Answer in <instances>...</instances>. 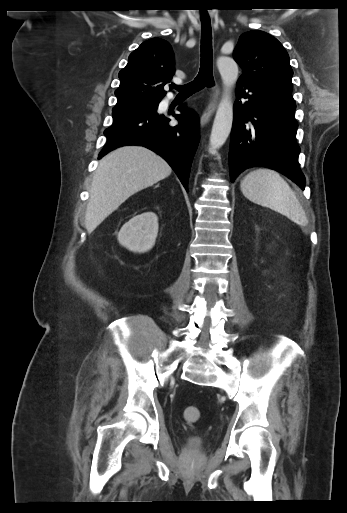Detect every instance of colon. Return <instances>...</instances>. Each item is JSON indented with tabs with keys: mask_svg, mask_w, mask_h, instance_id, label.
<instances>
[{
	"mask_svg": "<svg viewBox=\"0 0 347 513\" xmlns=\"http://www.w3.org/2000/svg\"><path fill=\"white\" fill-rule=\"evenodd\" d=\"M184 418L189 424H196L201 420V411L194 406H188L184 410Z\"/></svg>",
	"mask_w": 347,
	"mask_h": 513,
	"instance_id": "5ec220e1",
	"label": "colon"
}]
</instances>
